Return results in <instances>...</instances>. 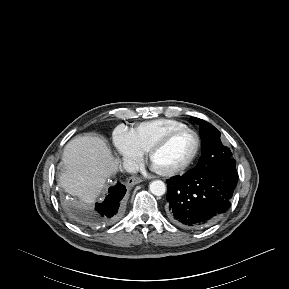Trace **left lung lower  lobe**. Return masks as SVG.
Wrapping results in <instances>:
<instances>
[{
    "label": "left lung lower lobe",
    "mask_w": 289,
    "mask_h": 289,
    "mask_svg": "<svg viewBox=\"0 0 289 289\" xmlns=\"http://www.w3.org/2000/svg\"><path fill=\"white\" fill-rule=\"evenodd\" d=\"M235 166L192 169L167 180V216L180 226L203 228L227 211L237 185Z\"/></svg>",
    "instance_id": "obj_1"
}]
</instances>
